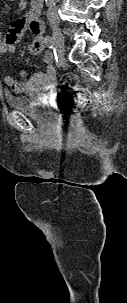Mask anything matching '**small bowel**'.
Segmentation results:
<instances>
[{"label": "small bowel", "mask_w": 127, "mask_h": 303, "mask_svg": "<svg viewBox=\"0 0 127 303\" xmlns=\"http://www.w3.org/2000/svg\"><path fill=\"white\" fill-rule=\"evenodd\" d=\"M11 2L15 0H9ZM43 0H30L28 11L20 18L14 20L9 28L3 32L0 31V61L5 53H13L16 44L28 32L33 34V39L29 43V52L31 54L42 53V60L45 64L44 72H37L31 77H28L26 70L20 72L23 79L19 82L12 76H7L4 79L6 86L13 92L35 93L40 86L51 87L55 76V67L53 65V54L46 50V43L43 37L45 30L44 23L40 19ZM23 4L20 3L17 9H21Z\"/></svg>", "instance_id": "c3829d8e"}]
</instances>
